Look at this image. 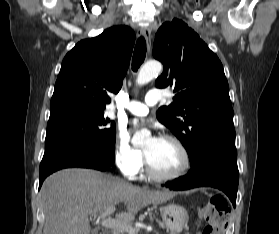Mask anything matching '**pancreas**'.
I'll return each instance as SVG.
<instances>
[{"instance_id":"1","label":"pancreas","mask_w":279,"mask_h":234,"mask_svg":"<svg viewBox=\"0 0 279 234\" xmlns=\"http://www.w3.org/2000/svg\"><path fill=\"white\" fill-rule=\"evenodd\" d=\"M129 234H136V230H134V232H132V233H129Z\"/></svg>"}]
</instances>
